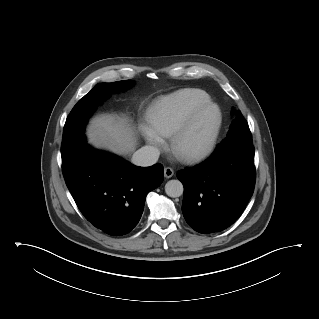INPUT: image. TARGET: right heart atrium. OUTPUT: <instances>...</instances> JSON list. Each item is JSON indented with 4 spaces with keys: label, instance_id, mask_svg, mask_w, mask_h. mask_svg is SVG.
<instances>
[{
    "label": "right heart atrium",
    "instance_id": "obj_1",
    "mask_svg": "<svg viewBox=\"0 0 319 319\" xmlns=\"http://www.w3.org/2000/svg\"><path fill=\"white\" fill-rule=\"evenodd\" d=\"M142 132L145 140L157 149H161L164 146V140L160 134H158L152 127L144 126Z\"/></svg>",
    "mask_w": 319,
    "mask_h": 319
}]
</instances>
